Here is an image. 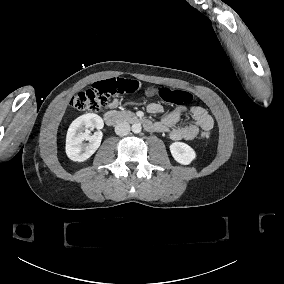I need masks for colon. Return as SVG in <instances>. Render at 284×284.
Returning <instances> with one entry per match:
<instances>
[{
    "label": "colon",
    "instance_id": "obj_1",
    "mask_svg": "<svg viewBox=\"0 0 284 284\" xmlns=\"http://www.w3.org/2000/svg\"><path fill=\"white\" fill-rule=\"evenodd\" d=\"M142 83L136 79L110 78L98 81L88 88L81 89L71 99L72 107L82 112H95L104 107L109 97L116 94L135 93ZM159 94L163 93L162 89L158 90ZM165 101L172 106H188L193 99L192 93L185 88H169L162 94ZM204 138L209 136L207 131L202 133Z\"/></svg>",
    "mask_w": 284,
    "mask_h": 284
}]
</instances>
